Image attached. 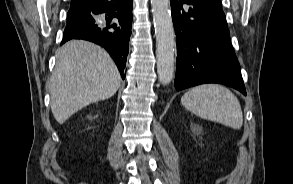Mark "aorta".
<instances>
[{
    "instance_id": "762f6f07",
    "label": "aorta",
    "mask_w": 293,
    "mask_h": 184,
    "mask_svg": "<svg viewBox=\"0 0 293 184\" xmlns=\"http://www.w3.org/2000/svg\"><path fill=\"white\" fill-rule=\"evenodd\" d=\"M156 35L157 74L163 85L171 82L175 64V33L170 0H151Z\"/></svg>"
}]
</instances>
